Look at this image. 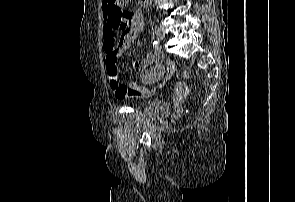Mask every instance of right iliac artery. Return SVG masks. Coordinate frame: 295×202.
<instances>
[{
  "mask_svg": "<svg viewBox=\"0 0 295 202\" xmlns=\"http://www.w3.org/2000/svg\"><path fill=\"white\" fill-rule=\"evenodd\" d=\"M153 47H154L155 49H159V47H160L159 42H158V41H154V42H153Z\"/></svg>",
  "mask_w": 295,
  "mask_h": 202,
  "instance_id": "1",
  "label": "right iliac artery"
}]
</instances>
